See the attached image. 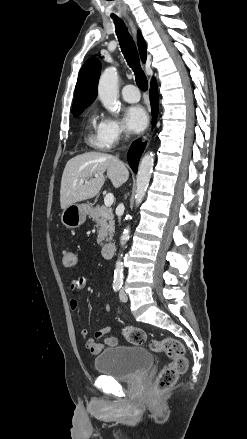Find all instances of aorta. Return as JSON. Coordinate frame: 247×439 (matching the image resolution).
Returning <instances> with one entry per match:
<instances>
[{
    "mask_svg": "<svg viewBox=\"0 0 247 439\" xmlns=\"http://www.w3.org/2000/svg\"><path fill=\"white\" fill-rule=\"evenodd\" d=\"M98 96L103 106L111 113L119 110L118 98V73L115 67L111 66L102 73L98 84ZM154 157L152 152L142 158L136 177L135 203L138 206L147 191L151 174L153 171ZM130 234L129 227L125 228L121 236L122 246L128 241ZM123 262L118 259L114 270V283L121 284L123 280Z\"/></svg>",
    "mask_w": 247,
    "mask_h": 439,
    "instance_id": "aorta-1",
    "label": "aorta"
}]
</instances>
